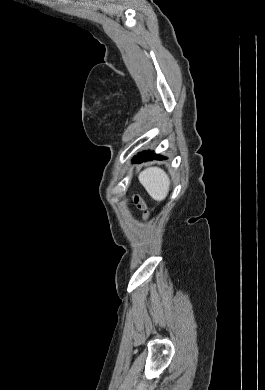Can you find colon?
I'll use <instances>...</instances> for the list:
<instances>
[{
    "mask_svg": "<svg viewBox=\"0 0 265 390\" xmlns=\"http://www.w3.org/2000/svg\"><path fill=\"white\" fill-rule=\"evenodd\" d=\"M134 202H135V204H136V206L138 208L143 209V210L146 209V204H145L144 200L140 196L135 195L134 196Z\"/></svg>",
    "mask_w": 265,
    "mask_h": 390,
    "instance_id": "obj_1",
    "label": "colon"
}]
</instances>
